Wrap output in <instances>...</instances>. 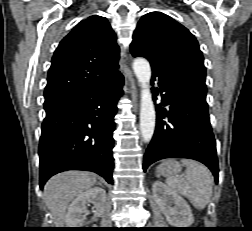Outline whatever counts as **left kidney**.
<instances>
[{
    "label": "left kidney",
    "mask_w": 252,
    "mask_h": 231,
    "mask_svg": "<svg viewBox=\"0 0 252 231\" xmlns=\"http://www.w3.org/2000/svg\"><path fill=\"white\" fill-rule=\"evenodd\" d=\"M152 191L155 202L170 225L176 228H187L194 222L189 204L165 184L154 182Z\"/></svg>",
    "instance_id": "1"
}]
</instances>
